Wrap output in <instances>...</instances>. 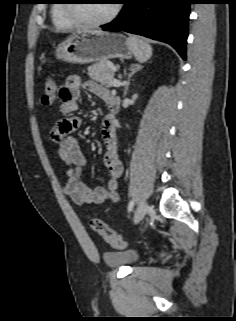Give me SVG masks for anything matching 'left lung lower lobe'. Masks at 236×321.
<instances>
[{
	"label": "left lung lower lobe",
	"mask_w": 236,
	"mask_h": 321,
	"mask_svg": "<svg viewBox=\"0 0 236 321\" xmlns=\"http://www.w3.org/2000/svg\"><path fill=\"white\" fill-rule=\"evenodd\" d=\"M125 7L106 31H126L166 42L186 59L191 0H123Z\"/></svg>",
	"instance_id": "left-lung-lower-lobe-1"
}]
</instances>
